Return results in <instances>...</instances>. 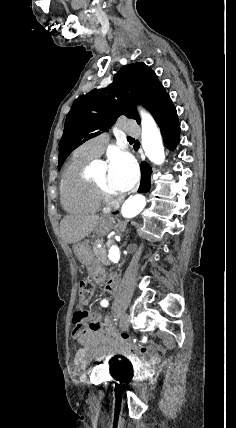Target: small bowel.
Masks as SVG:
<instances>
[{
  "instance_id": "small-bowel-1",
  "label": "small bowel",
  "mask_w": 236,
  "mask_h": 428,
  "mask_svg": "<svg viewBox=\"0 0 236 428\" xmlns=\"http://www.w3.org/2000/svg\"><path fill=\"white\" fill-rule=\"evenodd\" d=\"M117 286V276H109L105 283L106 292L114 294L117 291ZM96 317L100 319L99 326L89 325L80 332L75 330L72 332V337L82 345V348L76 353L78 361L91 357L101 358L107 353H116L124 357L129 356L137 363L149 364L159 360V355L153 347L137 344L123 335H114L111 329L104 324L103 317L99 314H96Z\"/></svg>"
}]
</instances>
